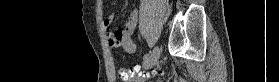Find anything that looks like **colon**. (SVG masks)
I'll return each instance as SVG.
<instances>
[{
  "label": "colon",
  "mask_w": 279,
  "mask_h": 82,
  "mask_svg": "<svg viewBox=\"0 0 279 82\" xmlns=\"http://www.w3.org/2000/svg\"><path fill=\"white\" fill-rule=\"evenodd\" d=\"M155 74V71L146 74H138L132 67H120L119 69V75L122 82H138L140 80L148 79Z\"/></svg>",
  "instance_id": "5ec220e1"
}]
</instances>
